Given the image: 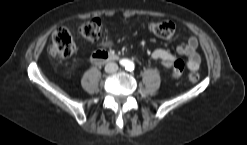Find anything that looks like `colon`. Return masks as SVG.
<instances>
[{
  "instance_id": "1",
  "label": "colon",
  "mask_w": 247,
  "mask_h": 145,
  "mask_svg": "<svg viewBox=\"0 0 247 145\" xmlns=\"http://www.w3.org/2000/svg\"><path fill=\"white\" fill-rule=\"evenodd\" d=\"M103 29V22L100 18H91L83 22L80 26V33L88 40H97ZM149 30L156 36L162 38H171L175 33V25L171 21L151 22ZM76 50V44L73 37L66 27H60L55 30L52 36L50 54L54 58L64 59L70 57ZM185 64L182 60H175L173 63V74L176 77L182 75ZM189 80L195 83L199 80V75L193 72L189 75Z\"/></svg>"
}]
</instances>
